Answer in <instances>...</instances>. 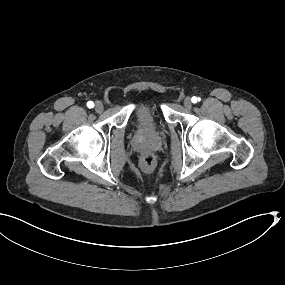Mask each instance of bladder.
Here are the masks:
<instances>
[{
    "label": "bladder",
    "mask_w": 285,
    "mask_h": 285,
    "mask_svg": "<svg viewBox=\"0 0 285 285\" xmlns=\"http://www.w3.org/2000/svg\"><path fill=\"white\" fill-rule=\"evenodd\" d=\"M132 113V132L140 137H151L160 132L158 121L159 116L156 114L154 104H136L131 107Z\"/></svg>",
    "instance_id": "31cf9c89"
}]
</instances>
